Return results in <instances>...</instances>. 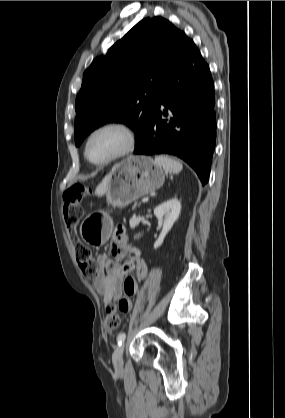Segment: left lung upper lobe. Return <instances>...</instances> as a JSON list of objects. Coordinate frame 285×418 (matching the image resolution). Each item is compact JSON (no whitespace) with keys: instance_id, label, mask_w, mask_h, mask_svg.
<instances>
[{"instance_id":"obj_1","label":"left lung upper lobe","mask_w":285,"mask_h":418,"mask_svg":"<svg viewBox=\"0 0 285 418\" xmlns=\"http://www.w3.org/2000/svg\"><path fill=\"white\" fill-rule=\"evenodd\" d=\"M184 36L168 20L149 17L91 63L76 98V146L108 122L128 125L136 144L143 138Z\"/></svg>"}]
</instances>
